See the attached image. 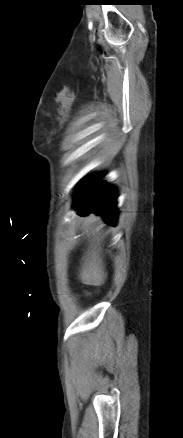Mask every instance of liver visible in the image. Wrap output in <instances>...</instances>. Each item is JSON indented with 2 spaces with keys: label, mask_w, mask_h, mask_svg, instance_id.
Here are the masks:
<instances>
[{
  "label": "liver",
  "mask_w": 183,
  "mask_h": 438,
  "mask_svg": "<svg viewBox=\"0 0 183 438\" xmlns=\"http://www.w3.org/2000/svg\"><path fill=\"white\" fill-rule=\"evenodd\" d=\"M99 218L90 217V222H95ZM100 234L93 236L91 249L88 251L87 257L80 273L81 281L87 285L100 286L104 283L106 274L104 272L102 258L100 256Z\"/></svg>",
  "instance_id": "6515ba94"
}]
</instances>
